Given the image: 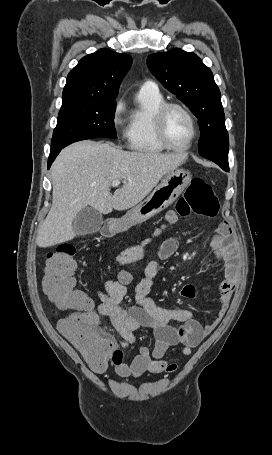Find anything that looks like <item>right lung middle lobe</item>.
Wrapping results in <instances>:
<instances>
[{"label":"right lung middle lobe","instance_id":"obj_1","mask_svg":"<svg viewBox=\"0 0 272 455\" xmlns=\"http://www.w3.org/2000/svg\"><path fill=\"white\" fill-rule=\"evenodd\" d=\"M115 110V101L62 103L57 126L53 132L51 150L85 139L98 137L116 139Z\"/></svg>","mask_w":272,"mask_h":455}]
</instances>
